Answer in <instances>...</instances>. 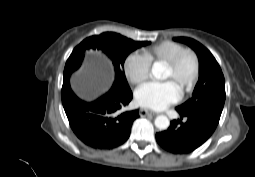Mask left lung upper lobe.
<instances>
[{"mask_svg":"<svg viewBox=\"0 0 255 177\" xmlns=\"http://www.w3.org/2000/svg\"><path fill=\"white\" fill-rule=\"evenodd\" d=\"M175 41L191 47L199 58V80L192 97L176 110L185 114H203L220 119L225 102V80L219 64L211 52L199 42L175 37Z\"/></svg>","mask_w":255,"mask_h":177,"instance_id":"5c2ea615","label":"left lung upper lobe"}]
</instances>
